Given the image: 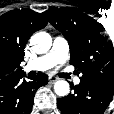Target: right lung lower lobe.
I'll return each instance as SVG.
<instances>
[{"instance_id":"98d812e1","label":"right lung lower lobe","mask_w":114,"mask_h":114,"mask_svg":"<svg viewBox=\"0 0 114 114\" xmlns=\"http://www.w3.org/2000/svg\"><path fill=\"white\" fill-rule=\"evenodd\" d=\"M23 73L0 81V114H29L36 90L48 83V76L39 73L31 81L22 80Z\"/></svg>"}]
</instances>
